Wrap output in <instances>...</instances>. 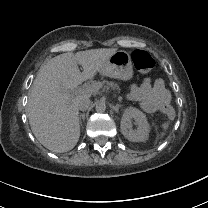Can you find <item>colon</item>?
Here are the masks:
<instances>
[{
	"label": "colon",
	"instance_id": "obj_1",
	"mask_svg": "<svg viewBox=\"0 0 208 208\" xmlns=\"http://www.w3.org/2000/svg\"><path fill=\"white\" fill-rule=\"evenodd\" d=\"M134 67L144 73H152L154 71V59L151 54L145 50L136 49L131 55ZM164 112V120L161 126L165 129L169 128L176 117L175 109L171 106H166L162 109Z\"/></svg>",
	"mask_w": 208,
	"mask_h": 208
}]
</instances>
